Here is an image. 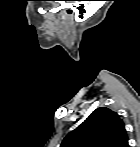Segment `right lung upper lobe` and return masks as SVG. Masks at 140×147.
Returning <instances> with one entry per match:
<instances>
[{"instance_id":"cb5924a9","label":"right lung upper lobe","mask_w":140,"mask_h":147,"mask_svg":"<svg viewBox=\"0 0 140 147\" xmlns=\"http://www.w3.org/2000/svg\"><path fill=\"white\" fill-rule=\"evenodd\" d=\"M60 147H128L125 124L111 109L97 108L64 138Z\"/></svg>"}]
</instances>
